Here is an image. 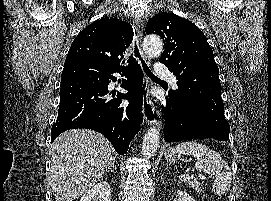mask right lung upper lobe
<instances>
[{
    "instance_id": "cb5924a9",
    "label": "right lung upper lobe",
    "mask_w": 271,
    "mask_h": 201,
    "mask_svg": "<svg viewBox=\"0 0 271 201\" xmlns=\"http://www.w3.org/2000/svg\"><path fill=\"white\" fill-rule=\"evenodd\" d=\"M133 35V28L129 23L114 18H101L77 35L65 61L85 59L106 67L125 68L120 62ZM128 62V66L137 63L133 57H129Z\"/></svg>"
}]
</instances>
